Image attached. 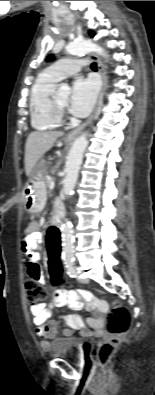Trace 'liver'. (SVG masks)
Segmentation results:
<instances>
[{"mask_svg":"<svg viewBox=\"0 0 155 395\" xmlns=\"http://www.w3.org/2000/svg\"><path fill=\"white\" fill-rule=\"evenodd\" d=\"M64 135L61 131H34L30 133L25 145V173L31 176L37 162L49 151L56 140Z\"/></svg>","mask_w":155,"mask_h":395,"instance_id":"liver-1","label":"liver"}]
</instances>
